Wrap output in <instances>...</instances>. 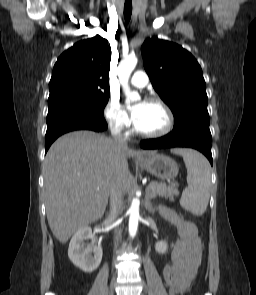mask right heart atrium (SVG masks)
I'll return each instance as SVG.
<instances>
[{
  "instance_id": "1",
  "label": "right heart atrium",
  "mask_w": 256,
  "mask_h": 295,
  "mask_svg": "<svg viewBox=\"0 0 256 295\" xmlns=\"http://www.w3.org/2000/svg\"><path fill=\"white\" fill-rule=\"evenodd\" d=\"M104 117L109 127L115 132L126 133L130 127L126 111L115 99L110 100L105 106Z\"/></svg>"
}]
</instances>
